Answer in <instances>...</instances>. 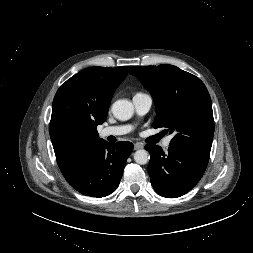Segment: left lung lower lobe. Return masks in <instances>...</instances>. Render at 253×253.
<instances>
[{
  "label": "left lung lower lobe",
  "instance_id": "0a47b994",
  "mask_svg": "<svg viewBox=\"0 0 253 253\" xmlns=\"http://www.w3.org/2000/svg\"><path fill=\"white\" fill-rule=\"evenodd\" d=\"M150 153L148 173L154 190L161 196L177 198L190 191L202 178L208 160L187 150L145 145Z\"/></svg>",
  "mask_w": 253,
  "mask_h": 253
}]
</instances>
